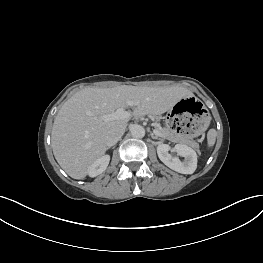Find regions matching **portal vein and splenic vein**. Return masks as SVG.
I'll list each match as a JSON object with an SVG mask.
<instances>
[{"label": "portal vein and splenic vein", "instance_id": "18ae733b", "mask_svg": "<svg viewBox=\"0 0 263 263\" xmlns=\"http://www.w3.org/2000/svg\"><path fill=\"white\" fill-rule=\"evenodd\" d=\"M134 102L129 101L128 106H133ZM131 116V113L129 111H125L124 108H118L115 112L107 114L103 116L105 121H112V120H117V119H127ZM154 133L158 136H162V134L155 129Z\"/></svg>", "mask_w": 263, "mask_h": 263}]
</instances>
